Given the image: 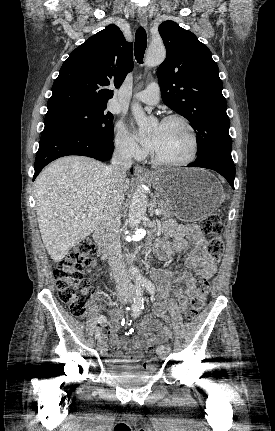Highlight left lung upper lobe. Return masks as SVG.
I'll return each instance as SVG.
<instances>
[{
    "instance_id": "obj_1",
    "label": "left lung upper lobe",
    "mask_w": 275,
    "mask_h": 431,
    "mask_svg": "<svg viewBox=\"0 0 275 431\" xmlns=\"http://www.w3.org/2000/svg\"><path fill=\"white\" fill-rule=\"evenodd\" d=\"M167 56L157 76L164 103L185 117L197 135V158L231 152L227 103L210 50L173 21L159 26Z\"/></svg>"
}]
</instances>
